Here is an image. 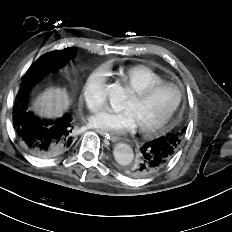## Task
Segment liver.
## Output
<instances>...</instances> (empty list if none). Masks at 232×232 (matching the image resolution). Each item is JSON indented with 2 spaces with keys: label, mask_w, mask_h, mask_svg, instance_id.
Here are the masks:
<instances>
[{
  "label": "liver",
  "mask_w": 232,
  "mask_h": 232,
  "mask_svg": "<svg viewBox=\"0 0 232 232\" xmlns=\"http://www.w3.org/2000/svg\"><path fill=\"white\" fill-rule=\"evenodd\" d=\"M69 97L65 89L49 88L34 103L35 111L45 117H60L69 106Z\"/></svg>",
  "instance_id": "obj_1"
}]
</instances>
